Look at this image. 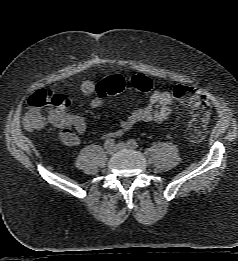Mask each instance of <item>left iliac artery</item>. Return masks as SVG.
I'll list each match as a JSON object with an SVG mask.
<instances>
[{
	"mask_svg": "<svg viewBox=\"0 0 238 261\" xmlns=\"http://www.w3.org/2000/svg\"><path fill=\"white\" fill-rule=\"evenodd\" d=\"M128 145L131 147V148H137L138 147V143L136 141H134L133 139H130L128 140Z\"/></svg>",
	"mask_w": 238,
	"mask_h": 261,
	"instance_id": "obj_1",
	"label": "left iliac artery"
}]
</instances>
